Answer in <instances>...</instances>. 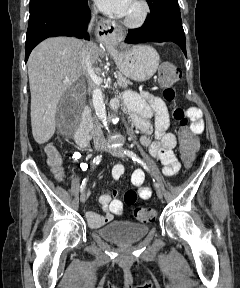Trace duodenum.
I'll return each instance as SVG.
<instances>
[{
	"mask_svg": "<svg viewBox=\"0 0 240 288\" xmlns=\"http://www.w3.org/2000/svg\"><path fill=\"white\" fill-rule=\"evenodd\" d=\"M120 105L119 100L115 99L111 102V107L114 110H117ZM90 131H91V122H90V113L88 109H85L82 113L80 125L75 132V141L78 145L86 147L90 142Z\"/></svg>",
	"mask_w": 240,
	"mask_h": 288,
	"instance_id": "obj_1",
	"label": "duodenum"
}]
</instances>
